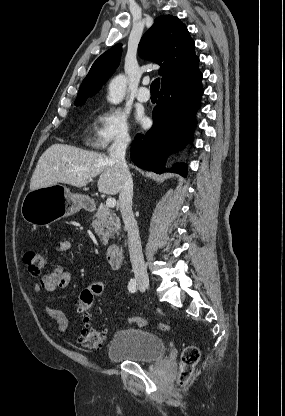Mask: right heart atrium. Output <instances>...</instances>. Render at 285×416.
I'll return each instance as SVG.
<instances>
[{"label": "right heart atrium", "mask_w": 285, "mask_h": 416, "mask_svg": "<svg viewBox=\"0 0 285 416\" xmlns=\"http://www.w3.org/2000/svg\"><path fill=\"white\" fill-rule=\"evenodd\" d=\"M129 138L126 117L117 109L104 107L92 118L87 143L93 149L104 151L113 144H123Z\"/></svg>", "instance_id": "d8ad5b80"}]
</instances>
